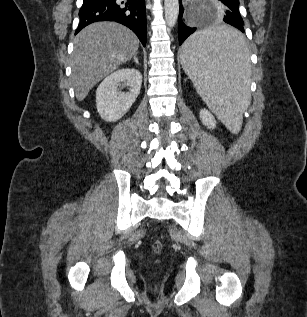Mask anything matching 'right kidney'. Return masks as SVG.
Here are the masks:
<instances>
[{
  "label": "right kidney",
  "mask_w": 307,
  "mask_h": 317,
  "mask_svg": "<svg viewBox=\"0 0 307 317\" xmlns=\"http://www.w3.org/2000/svg\"><path fill=\"white\" fill-rule=\"evenodd\" d=\"M141 84L142 75L136 69H120L108 75L96 91V106L101 118L107 122L122 118L138 97ZM123 86H129L130 92H122Z\"/></svg>",
  "instance_id": "1"
}]
</instances>
